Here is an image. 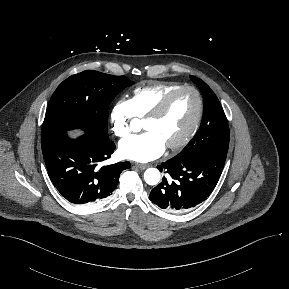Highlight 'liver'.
I'll use <instances>...</instances> for the list:
<instances>
[{
    "label": "liver",
    "mask_w": 289,
    "mask_h": 289,
    "mask_svg": "<svg viewBox=\"0 0 289 289\" xmlns=\"http://www.w3.org/2000/svg\"><path fill=\"white\" fill-rule=\"evenodd\" d=\"M79 133L77 132V133H72V135H78Z\"/></svg>",
    "instance_id": "obj_1"
}]
</instances>
